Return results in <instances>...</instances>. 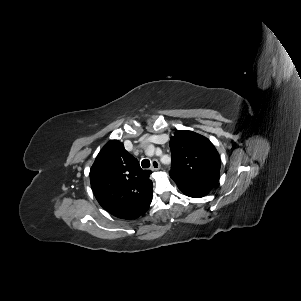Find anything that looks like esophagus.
<instances>
[{"mask_svg":"<svg viewBox=\"0 0 301 301\" xmlns=\"http://www.w3.org/2000/svg\"><path fill=\"white\" fill-rule=\"evenodd\" d=\"M151 169L153 171H157V170L160 169V163L158 162V160H156V159L152 160V162H151Z\"/></svg>","mask_w":301,"mask_h":301,"instance_id":"esophagus-1","label":"esophagus"}]
</instances>
